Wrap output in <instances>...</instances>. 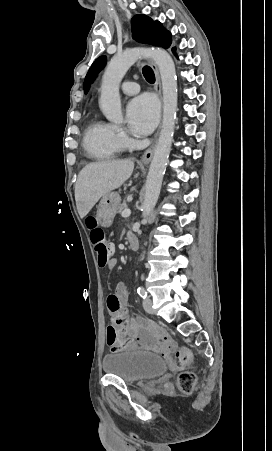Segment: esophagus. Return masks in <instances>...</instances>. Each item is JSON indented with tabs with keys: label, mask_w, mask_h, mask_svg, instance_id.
I'll use <instances>...</instances> for the list:
<instances>
[{
	"label": "esophagus",
	"mask_w": 272,
	"mask_h": 451,
	"mask_svg": "<svg viewBox=\"0 0 272 451\" xmlns=\"http://www.w3.org/2000/svg\"><path fill=\"white\" fill-rule=\"evenodd\" d=\"M150 65H151L152 70L154 71L155 77H156L154 90L161 97V79H160V74H159L158 67L152 60H150ZM153 153H154V146L152 145L150 148H148L145 151V153L143 154V156H142V158L140 160V163L144 164V165L150 163V161L152 159V156H153Z\"/></svg>",
	"instance_id": "34e87169"
}]
</instances>
